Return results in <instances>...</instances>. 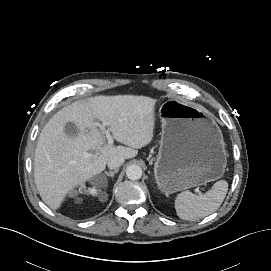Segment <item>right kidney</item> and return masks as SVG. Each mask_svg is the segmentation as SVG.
<instances>
[{
	"instance_id": "obj_1",
	"label": "right kidney",
	"mask_w": 271,
	"mask_h": 271,
	"mask_svg": "<svg viewBox=\"0 0 271 271\" xmlns=\"http://www.w3.org/2000/svg\"><path fill=\"white\" fill-rule=\"evenodd\" d=\"M100 189H98L96 186L92 187V188H86L85 185H82L79 188V192L80 193H89L91 195H97L99 193Z\"/></svg>"
}]
</instances>
